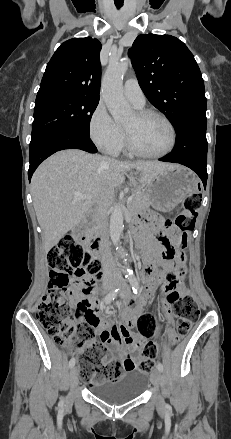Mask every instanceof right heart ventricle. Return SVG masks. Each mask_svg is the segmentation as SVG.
I'll return each mask as SVG.
<instances>
[{
    "label": "right heart ventricle",
    "mask_w": 231,
    "mask_h": 439,
    "mask_svg": "<svg viewBox=\"0 0 231 439\" xmlns=\"http://www.w3.org/2000/svg\"><path fill=\"white\" fill-rule=\"evenodd\" d=\"M122 148H123V144H122V146H121V148H120V149H122ZM120 149H119V150H120Z\"/></svg>",
    "instance_id": "obj_1"
}]
</instances>
